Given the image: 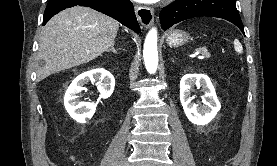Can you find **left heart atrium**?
<instances>
[{
	"instance_id": "left-heart-atrium-1",
	"label": "left heart atrium",
	"mask_w": 277,
	"mask_h": 166,
	"mask_svg": "<svg viewBox=\"0 0 277 166\" xmlns=\"http://www.w3.org/2000/svg\"><path fill=\"white\" fill-rule=\"evenodd\" d=\"M135 1L142 2V3H154L157 0H135Z\"/></svg>"
}]
</instances>
